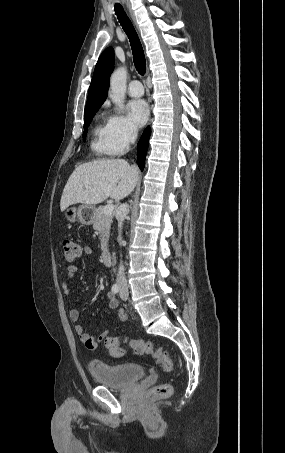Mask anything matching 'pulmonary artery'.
<instances>
[{
  "label": "pulmonary artery",
  "instance_id": "pulmonary-artery-1",
  "mask_svg": "<svg viewBox=\"0 0 285 453\" xmlns=\"http://www.w3.org/2000/svg\"><path fill=\"white\" fill-rule=\"evenodd\" d=\"M128 94L131 97H141L144 94V89L139 80H132L128 85Z\"/></svg>",
  "mask_w": 285,
  "mask_h": 453
}]
</instances>
